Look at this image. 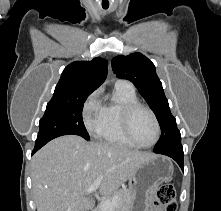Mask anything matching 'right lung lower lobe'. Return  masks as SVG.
Returning a JSON list of instances; mask_svg holds the SVG:
<instances>
[{"label":"right lung lower lobe","mask_w":221,"mask_h":211,"mask_svg":"<svg viewBox=\"0 0 221 211\" xmlns=\"http://www.w3.org/2000/svg\"><path fill=\"white\" fill-rule=\"evenodd\" d=\"M50 140H52V139H46V140H43V141L35 142V147H34V150H33L32 154H34L37 150H39L42 146H44Z\"/></svg>","instance_id":"right-lung-lower-lobe-1"}]
</instances>
